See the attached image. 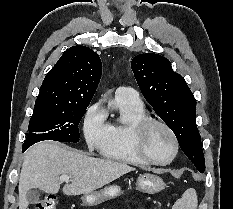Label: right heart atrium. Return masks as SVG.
<instances>
[{
    "label": "right heart atrium",
    "mask_w": 233,
    "mask_h": 209,
    "mask_svg": "<svg viewBox=\"0 0 233 209\" xmlns=\"http://www.w3.org/2000/svg\"><path fill=\"white\" fill-rule=\"evenodd\" d=\"M83 134L90 149H97L104 144L108 136V124L99 102L91 105L85 112Z\"/></svg>",
    "instance_id": "obj_1"
}]
</instances>
